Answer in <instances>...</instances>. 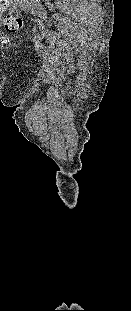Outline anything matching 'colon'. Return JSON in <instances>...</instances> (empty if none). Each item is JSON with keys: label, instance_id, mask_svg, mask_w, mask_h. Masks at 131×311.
I'll return each mask as SVG.
<instances>
[{"label": "colon", "instance_id": "5ec220e1", "mask_svg": "<svg viewBox=\"0 0 131 311\" xmlns=\"http://www.w3.org/2000/svg\"><path fill=\"white\" fill-rule=\"evenodd\" d=\"M12 2V0H0V12L8 10L4 20L5 28L9 32H16L21 27V18Z\"/></svg>", "mask_w": 131, "mask_h": 311}]
</instances>
